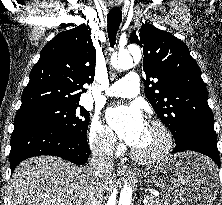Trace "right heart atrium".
I'll list each match as a JSON object with an SVG mask.
<instances>
[{
	"mask_svg": "<svg viewBox=\"0 0 222 205\" xmlns=\"http://www.w3.org/2000/svg\"><path fill=\"white\" fill-rule=\"evenodd\" d=\"M88 141L92 151L103 158H111L117 153L116 138L98 119H94L90 125Z\"/></svg>",
	"mask_w": 222,
	"mask_h": 205,
	"instance_id": "obj_1",
	"label": "right heart atrium"
}]
</instances>
